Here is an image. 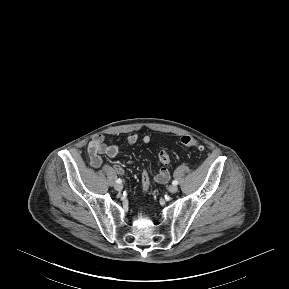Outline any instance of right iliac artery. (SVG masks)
Listing matches in <instances>:
<instances>
[{
  "label": "right iliac artery",
  "mask_w": 289,
  "mask_h": 289,
  "mask_svg": "<svg viewBox=\"0 0 289 289\" xmlns=\"http://www.w3.org/2000/svg\"><path fill=\"white\" fill-rule=\"evenodd\" d=\"M122 180L121 179H116V183H121Z\"/></svg>",
  "instance_id": "1"
}]
</instances>
